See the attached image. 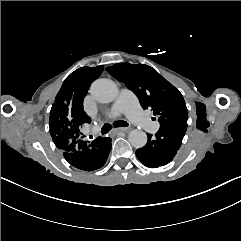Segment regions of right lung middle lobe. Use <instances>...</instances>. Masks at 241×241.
Segmentation results:
<instances>
[{
	"label": "right lung middle lobe",
	"mask_w": 241,
	"mask_h": 241,
	"mask_svg": "<svg viewBox=\"0 0 241 241\" xmlns=\"http://www.w3.org/2000/svg\"><path fill=\"white\" fill-rule=\"evenodd\" d=\"M77 75L81 78H86V77H92L93 74V69L91 67H82L77 70H75ZM96 77L92 78V81L95 80Z\"/></svg>",
	"instance_id": "dd1d6c3e"
}]
</instances>
